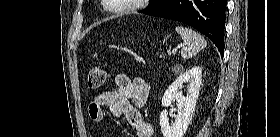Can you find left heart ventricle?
<instances>
[{"label":"left heart ventricle","instance_id":"obj_1","mask_svg":"<svg viewBox=\"0 0 280 137\" xmlns=\"http://www.w3.org/2000/svg\"><path fill=\"white\" fill-rule=\"evenodd\" d=\"M114 6H125L132 2V0H111Z\"/></svg>","mask_w":280,"mask_h":137}]
</instances>
